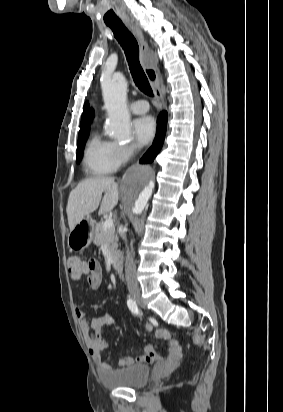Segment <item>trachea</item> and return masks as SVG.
<instances>
[{"instance_id":"1","label":"trachea","mask_w":283,"mask_h":412,"mask_svg":"<svg viewBox=\"0 0 283 412\" xmlns=\"http://www.w3.org/2000/svg\"><path fill=\"white\" fill-rule=\"evenodd\" d=\"M107 26L112 29L115 38L125 52L135 85L144 94L153 96L152 88L139 61V46L135 37L122 22L109 23Z\"/></svg>"}]
</instances>
